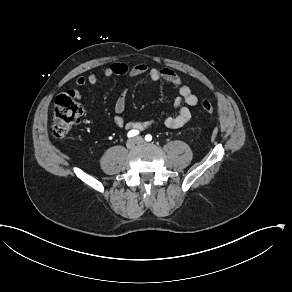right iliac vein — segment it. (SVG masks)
Listing matches in <instances>:
<instances>
[{
  "mask_svg": "<svg viewBox=\"0 0 292 292\" xmlns=\"http://www.w3.org/2000/svg\"><path fill=\"white\" fill-rule=\"evenodd\" d=\"M136 144H138L137 138H131L127 141L126 146L128 149H132L135 147Z\"/></svg>",
  "mask_w": 292,
  "mask_h": 292,
  "instance_id": "right-iliac-vein-1",
  "label": "right iliac vein"
}]
</instances>
